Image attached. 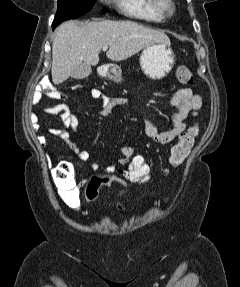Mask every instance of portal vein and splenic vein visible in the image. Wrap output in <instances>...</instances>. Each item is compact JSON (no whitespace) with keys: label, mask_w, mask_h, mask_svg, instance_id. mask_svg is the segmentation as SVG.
I'll use <instances>...</instances> for the list:
<instances>
[{"label":"portal vein and splenic vein","mask_w":240,"mask_h":287,"mask_svg":"<svg viewBox=\"0 0 240 287\" xmlns=\"http://www.w3.org/2000/svg\"><path fill=\"white\" fill-rule=\"evenodd\" d=\"M103 51H106L108 49V46H103Z\"/></svg>","instance_id":"18ae733b"}]
</instances>
